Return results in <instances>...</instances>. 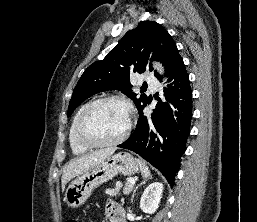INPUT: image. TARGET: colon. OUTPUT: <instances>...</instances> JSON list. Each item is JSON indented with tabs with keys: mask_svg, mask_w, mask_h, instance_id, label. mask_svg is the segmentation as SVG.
Returning a JSON list of instances; mask_svg holds the SVG:
<instances>
[{
	"mask_svg": "<svg viewBox=\"0 0 257 222\" xmlns=\"http://www.w3.org/2000/svg\"><path fill=\"white\" fill-rule=\"evenodd\" d=\"M67 222H83V221L78 218H73V219L68 220Z\"/></svg>",
	"mask_w": 257,
	"mask_h": 222,
	"instance_id": "obj_1",
	"label": "colon"
}]
</instances>
